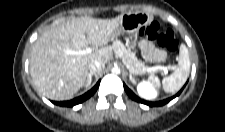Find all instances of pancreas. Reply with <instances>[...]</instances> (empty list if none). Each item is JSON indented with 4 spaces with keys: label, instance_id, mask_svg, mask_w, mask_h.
Wrapping results in <instances>:
<instances>
[{
    "label": "pancreas",
    "instance_id": "1",
    "mask_svg": "<svg viewBox=\"0 0 225 132\" xmlns=\"http://www.w3.org/2000/svg\"><path fill=\"white\" fill-rule=\"evenodd\" d=\"M111 48L133 74L142 75L149 68L144 62L138 60L135 53L126 48L121 41L115 40Z\"/></svg>",
    "mask_w": 225,
    "mask_h": 132
}]
</instances>
